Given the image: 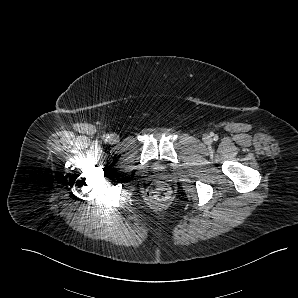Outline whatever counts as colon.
Masks as SVG:
<instances>
[{"mask_svg":"<svg viewBox=\"0 0 298 298\" xmlns=\"http://www.w3.org/2000/svg\"><path fill=\"white\" fill-rule=\"evenodd\" d=\"M170 193V188L165 182L157 181L151 184L147 196L154 201H165L169 198Z\"/></svg>","mask_w":298,"mask_h":298,"instance_id":"colon-1","label":"colon"}]
</instances>
